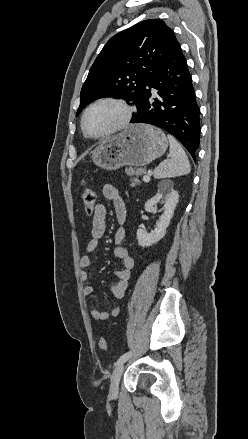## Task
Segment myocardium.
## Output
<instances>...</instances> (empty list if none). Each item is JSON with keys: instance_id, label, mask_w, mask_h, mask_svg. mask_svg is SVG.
Returning a JSON list of instances; mask_svg holds the SVG:
<instances>
[{"instance_id": "f54148a6", "label": "myocardium", "mask_w": 248, "mask_h": 439, "mask_svg": "<svg viewBox=\"0 0 248 439\" xmlns=\"http://www.w3.org/2000/svg\"><path fill=\"white\" fill-rule=\"evenodd\" d=\"M102 103H113V104L118 105L123 111V117H122L121 121L119 122V124L116 125L115 127L111 128L110 130H108L102 134H99V135H92V134L88 133L86 130V127H85L86 117L91 109H93L95 106L102 104ZM133 112H134L133 107L131 105H129L124 99H121L118 97H113V96L101 97V98L93 101L91 104H89L85 108V110L83 111V114L81 117V130H82L83 134L87 138H90V139H102V138L108 137L112 134H115V133L120 132V131L124 130L125 128H127L132 120Z\"/></svg>"}]
</instances>
